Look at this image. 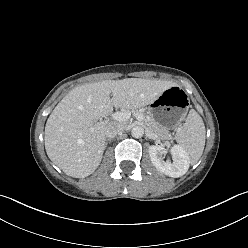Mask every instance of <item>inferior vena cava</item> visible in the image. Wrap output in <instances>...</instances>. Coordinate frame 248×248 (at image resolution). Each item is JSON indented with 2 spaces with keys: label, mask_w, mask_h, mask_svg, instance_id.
Returning a JSON list of instances; mask_svg holds the SVG:
<instances>
[{
  "label": "inferior vena cava",
  "mask_w": 248,
  "mask_h": 248,
  "mask_svg": "<svg viewBox=\"0 0 248 248\" xmlns=\"http://www.w3.org/2000/svg\"><path fill=\"white\" fill-rule=\"evenodd\" d=\"M123 131V127L122 125L118 124V123H109L106 127H105V136L107 138H114L116 137L118 134H120Z\"/></svg>",
  "instance_id": "obj_1"
}]
</instances>
